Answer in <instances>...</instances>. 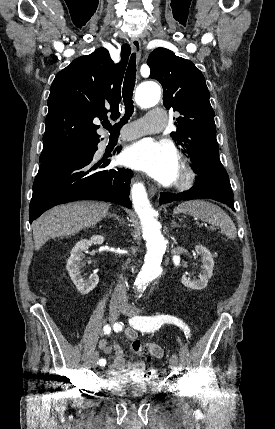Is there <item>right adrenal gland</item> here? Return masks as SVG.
Listing matches in <instances>:
<instances>
[{
  "instance_id": "obj_1",
  "label": "right adrenal gland",
  "mask_w": 275,
  "mask_h": 429,
  "mask_svg": "<svg viewBox=\"0 0 275 429\" xmlns=\"http://www.w3.org/2000/svg\"><path fill=\"white\" fill-rule=\"evenodd\" d=\"M114 217L120 224H124V220L120 219V217L115 213H109L108 218Z\"/></svg>"
}]
</instances>
